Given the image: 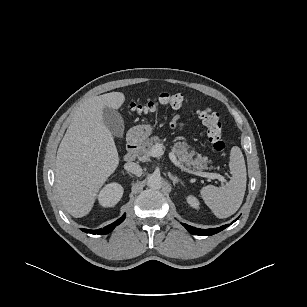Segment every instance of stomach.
Here are the masks:
<instances>
[{
  "label": "stomach",
  "mask_w": 307,
  "mask_h": 307,
  "mask_svg": "<svg viewBox=\"0 0 307 307\" xmlns=\"http://www.w3.org/2000/svg\"><path fill=\"white\" fill-rule=\"evenodd\" d=\"M133 137L137 140L146 139L152 132V127L150 125H139L131 130Z\"/></svg>",
  "instance_id": "obj_1"
}]
</instances>
